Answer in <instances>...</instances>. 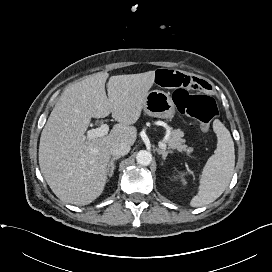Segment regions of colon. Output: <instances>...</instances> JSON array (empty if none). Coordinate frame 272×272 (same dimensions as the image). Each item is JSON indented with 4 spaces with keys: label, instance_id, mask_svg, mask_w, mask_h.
<instances>
[{
    "label": "colon",
    "instance_id": "colon-1",
    "mask_svg": "<svg viewBox=\"0 0 272 272\" xmlns=\"http://www.w3.org/2000/svg\"><path fill=\"white\" fill-rule=\"evenodd\" d=\"M172 97L180 113L196 119L202 131L209 130L211 121L218 115V108L213 98L189 93L185 89L175 90Z\"/></svg>",
    "mask_w": 272,
    "mask_h": 272
}]
</instances>
